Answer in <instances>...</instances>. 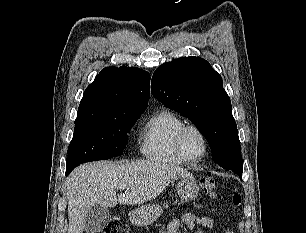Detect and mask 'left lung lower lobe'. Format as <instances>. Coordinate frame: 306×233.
<instances>
[{
  "instance_id": "obj_1",
  "label": "left lung lower lobe",
  "mask_w": 306,
  "mask_h": 233,
  "mask_svg": "<svg viewBox=\"0 0 306 233\" xmlns=\"http://www.w3.org/2000/svg\"><path fill=\"white\" fill-rule=\"evenodd\" d=\"M240 178H242V172H236Z\"/></svg>"
}]
</instances>
